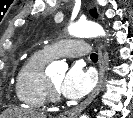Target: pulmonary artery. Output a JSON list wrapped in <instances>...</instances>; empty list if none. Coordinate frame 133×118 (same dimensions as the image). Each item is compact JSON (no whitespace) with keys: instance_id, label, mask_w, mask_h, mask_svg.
<instances>
[{"instance_id":"pulmonary-artery-1","label":"pulmonary artery","mask_w":133,"mask_h":118,"mask_svg":"<svg viewBox=\"0 0 133 118\" xmlns=\"http://www.w3.org/2000/svg\"><path fill=\"white\" fill-rule=\"evenodd\" d=\"M89 50V45L80 39L61 40L55 44L47 45L43 49L44 53L51 58L58 56L69 58L86 56Z\"/></svg>"}]
</instances>
